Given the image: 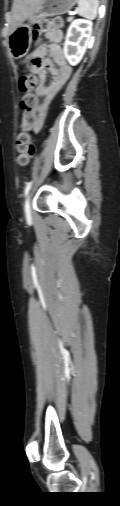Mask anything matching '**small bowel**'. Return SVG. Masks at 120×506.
Here are the masks:
<instances>
[{"label": "small bowel", "instance_id": "1", "mask_svg": "<svg viewBox=\"0 0 120 506\" xmlns=\"http://www.w3.org/2000/svg\"><path fill=\"white\" fill-rule=\"evenodd\" d=\"M48 43L37 46L32 54V71L37 75L38 81L35 92L43 96L44 100L36 107L37 118L33 126L34 132H39L43 126L48 106L51 100L62 89L71 75V67L65 62L63 51L59 45L62 39L60 30L47 34ZM58 65V68L54 66ZM50 73L52 82L45 85L46 75Z\"/></svg>", "mask_w": 120, "mask_h": 506}]
</instances>
